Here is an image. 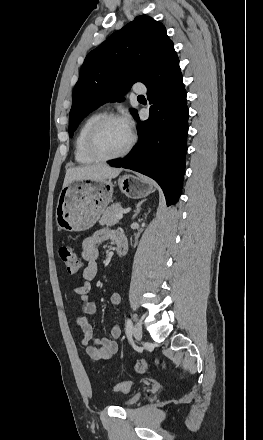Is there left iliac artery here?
Wrapping results in <instances>:
<instances>
[{"mask_svg": "<svg viewBox=\"0 0 263 440\" xmlns=\"http://www.w3.org/2000/svg\"><path fill=\"white\" fill-rule=\"evenodd\" d=\"M132 328H133V323L131 319L128 318L125 324V332L128 338L132 336Z\"/></svg>", "mask_w": 263, "mask_h": 440, "instance_id": "obj_1", "label": "left iliac artery"}]
</instances>
